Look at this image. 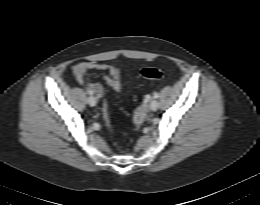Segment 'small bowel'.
Listing matches in <instances>:
<instances>
[{"mask_svg": "<svg viewBox=\"0 0 260 205\" xmlns=\"http://www.w3.org/2000/svg\"><path fill=\"white\" fill-rule=\"evenodd\" d=\"M99 71L107 74V80L113 90L117 93L122 91V74L119 68L108 64H96L93 62H80L74 65L72 72L75 80L85 85L88 90L92 91L98 98L103 96V90L98 84L91 83L89 76L91 72Z\"/></svg>", "mask_w": 260, "mask_h": 205, "instance_id": "c3829d8e", "label": "small bowel"}]
</instances>
